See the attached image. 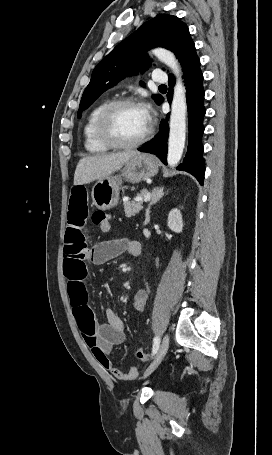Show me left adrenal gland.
Wrapping results in <instances>:
<instances>
[{"label": "left adrenal gland", "mask_w": 272, "mask_h": 455, "mask_svg": "<svg viewBox=\"0 0 272 455\" xmlns=\"http://www.w3.org/2000/svg\"><path fill=\"white\" fill-rule=\"evenodd\" d=\"M164 196V188L157 187L152 191L150 203L146 209V219L144 225H147L150 222V208L152 205L156 204L160 201V199Z\"/></svg>", "instance_id": "left-adrenal-gland-1"}]
</instances>
